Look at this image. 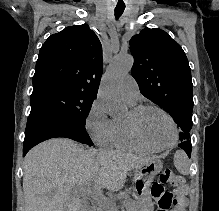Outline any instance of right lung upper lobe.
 Wrapping results in <instances>:
<instances>
[{"instance_id": "1", "label": "right lung upper lobe", "mask_w": 219, "mask_h": 211, "mask_svg": "<svg viewBox=\"0 0 219 211\" xmlns=\"http://www.w3.org/2000/svg\"><path fill=\"white\" fill-rule=\"evenodd\" d=\"M102 70V45L96 34L86 24L69 26L41 47L33 92L61 85L96 96Z\"/></svg>"}]
</instances>
